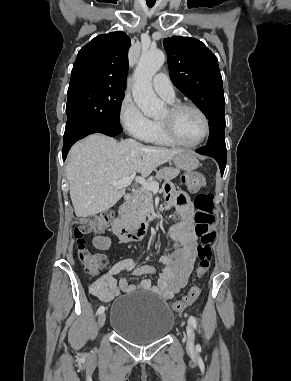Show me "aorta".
Wrapping results in <instances>:
<instances>
[{
	"mask_svg": "<svg viewBox=\"0 0 291 381\" xmlns=\"http://www.w3.org/2000/svg\"><path fill=\"white\" fill-rule=\"evenodd\" d=\"M165 55L161 50L143 51L134 72L133 99L147 117L158 116L163 102L152 88V78L164 64Z\"/></svg>",
	"mask_w": 291,
	"mask_h": 381,
	"instance_id": "aorta-1",
	"label": "aorta"
}]
</instances>
